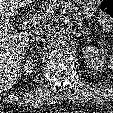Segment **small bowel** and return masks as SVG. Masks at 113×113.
<instances>
[{
    "label": "small bowel",
    "mask_w": 113,
    "mask_h": 113,
    "mask_svg": "<svg viewBox=\"0 0 113 113\" xmlns=\"http://www.w3.org/2000/svg\"><path fill=\"white\" fill-rule=\"evenodd\" d=\"M76 1L80 2V3L87 2L85 7H84L83 16L86 19L91 18L94 14V11H95L96 0H90V1L76 0Z\"/></svg>",
    "instance_id": "obj_1"
}]
</instances>
